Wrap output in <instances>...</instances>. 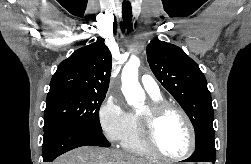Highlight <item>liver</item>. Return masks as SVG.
Returning a JSON list of instances; mask_svg holds the SVG:
<instances>
[{"label": "liver", "instance_id": "liver-1", "mask_svg": "<svg viewBox=\"0 0 251 164\" xmlns=\"http://www.w3.org/2000/svg\"><path fill=\"white\" fill-rule=\"evenodd\" d=\"M52 164H154L121 151L84 146L60 156Z\"/></svg>", "mask_w": 251, "mask_h": 164}]
</instances>
